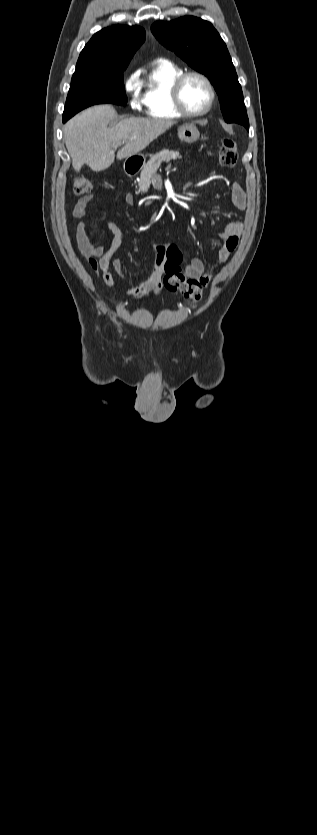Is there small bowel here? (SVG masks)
Listing matches in <instances>:
<instances>
[{
    "instance_id": "obj_1",
    "label": "small bowel",
    "mask_w": 317,
    "mask_h": 835,
    "mask_svg": "<svg viewBox=\"0 0 317 835\" xmlns=\"http://www.w3.org/2000/svg\"><path fill=\"white\" fill-rule=\"evenodd\" d=\"M92 199L93 195L83 196L74 206L73 216L79 220L76 229V241L88 265L93 270L101 272V278L104 284L108 288L118 290L111 270H114L127 280L136 279V276L128 273L119 259L113 258V255L122 244V233L117 224L112 221H104V226L112 234V240L107 249L102 245L92 242L88 234L89 224L85 219L87 207ZM124 200L128 205L134 204V198L130 194H126ZM231 201L233 206L238 210L242 211L246 208V195L239 183L235 182L231 186ZM241 232L242 224L237 221H231L219 233L220 246L218 257L221 264L227 262L232 252L237 248ZM154 252L156 266L152 275L141 281L137 286L123 291L130 298L137 299L149 293H159L163 287L161 278L163 273L162 267L165 261L172 259L181 263L183 260L182 252L175 245L167 243L157 244ZM184 272L187 277L199 281L202 288H206L213 278L212 275L205 273V264L199 257H193L185 266Z\"/></svg>"
}]
</instances>
